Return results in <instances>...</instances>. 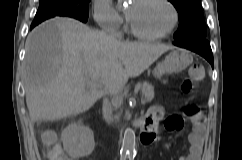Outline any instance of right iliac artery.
<instances>
[{
    "label": "right iliac artery",
    "instance_id": "obj_1",
    "mask_svg": "<svg viewBox=\"0 0 242 160\" xmlns=\"http://www.w3.org/2000/svg\"><path fill=\"white\" fill-rule=\"evenodd\" d=\"M121 160H125V158H121Z\"/></svg>",
    "mask_w": 242,
    "mask_h": 160
}]
</instances>
